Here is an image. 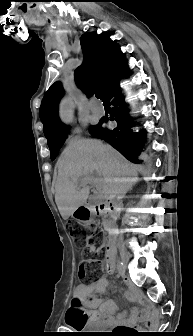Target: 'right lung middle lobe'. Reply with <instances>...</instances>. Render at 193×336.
I'll return each mask as SVG.
<instances>
[{
  "label": "right lung middle lobe",
  "mask_w": 193,
  "mask_h": 336,
  "mask_svg": "<svg viewBox=\"0 0 193 336\" xmlns=\"http://www.w3.org/2000/svg\"><path fill=\"white\" fill-rule=\"evenodd\" d=\"M97 127H98V125L95 126V127H92V129L90 130V133L95 131ZM66 136H67V132H64V133L54 137L52 140H50L48 142V146H49V149L51 151V160L52 161L58 155V152H59L60 148L62 147V145H63V143L66 139Z\"/></svg>",
  "instance_id": "right-lung-middle-lobe-1"
}]
</instances>
